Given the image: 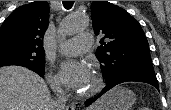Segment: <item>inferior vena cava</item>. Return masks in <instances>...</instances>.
Returning a JSON list of instances; mask_svg holds the SVG:
<instances>
[{
  "mask_svg": "<svg viewBox=\"0 0 171 110\" xmlns=\"http://www.w3.org/2000/svg\"><path fill=\"white\" fill-rule=\"evenodd\" d=\"M51 88L53 89L56 99L54 102V106L56 110H64L66 105V97L64 90L59 82H55L51 84Z\"/></svg>",
  "mask_w": 171,
  "mask_h": 110,
  "instance_id": "obj_1",
  "label": "inferior vena cava"
}]
</instances>
